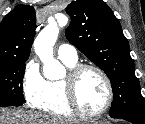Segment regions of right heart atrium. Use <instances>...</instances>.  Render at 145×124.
Masks as SVG:
<instances>
[{"mask_svg": "<svg viewBox=\"0 0 145 124\" xmlns=\"http://www.w3.org/2000/svg\"><path fill=\"white\" fill-rule=\"evenodd\" d=\"M45 89V80L39 69V64L35 60L27 62L22 81V90L26 101L37 107L43 98Z\"/></svg>", "mask_w": 145, "mask_h": 124, "instance_id": "obj_1", "label": "right heart atrium"}]
</instances>
